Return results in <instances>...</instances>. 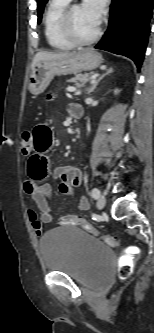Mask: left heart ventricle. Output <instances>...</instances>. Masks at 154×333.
Listing matches in <instances>:
<instances>
[{
    "label": "left heart ventricle",
    "mask_w": 154,
    "mask_h": 333,
    "mask_svg": "<svg viewBox=\"0 0 154 333\" xmlns=\"http://www.w3.org/2000/svg\"><path fill=\"white\" fill-rule=\"evenodd\" d=\"M71 19L74 32L84 39L91 37L99 26L80 5L72 11Z\"/></svg>",
    "instance_id": "left-heart-ventricle-1"
}]
</instances>
